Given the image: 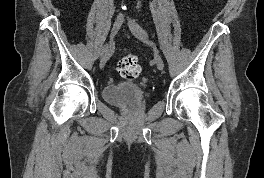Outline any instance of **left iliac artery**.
I'll return each mask as SVG.
<instances>
[{
	"label": "left iliac artery",
	"instance_id": "obj_1",
	"mask_svg": "<svg viewBox=\"0 0 264 178\" xmlns=\"http://www.w3.org/2000/svg\"><path fill=\"white\" fill-rule=\"evenodd\" d=\"M150 44H151V45H154V43H153V42H151Z\"/></svg>",
	"mask_w": 264,
	"mask_h": 178
}]
</instances>
